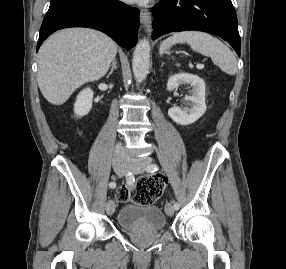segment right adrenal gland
<instances>
[{"instance_id":"obj_1","label":"right adrenal gland","mask_w":286,"mask_h":269,"mask_svg":"<svg viewBox=\"0 0 286 269\" xmlns=\"http://www.w3.org/2000/svg\"><path fill=\"white\" fill-rule=\"evenodd\" d=\"M116 64H117V60L113 59L109 76L113 73L114 70L117 69Z\"/></svg>"}]
</instances>
